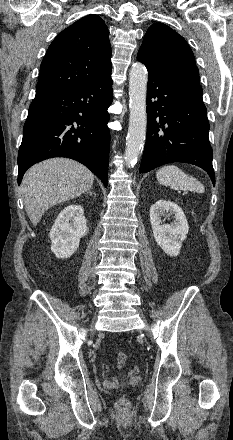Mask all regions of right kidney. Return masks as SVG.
Listing matches in <instances>:
<instances>
[{
  "instance_id": "1",
  "label": "right kidney",
  "mask_w": 233,
  "mask_h": 440,
  "mask_svg": "<svg viewBox=\"0 0 233 440\" xmlns=\"http://www.w3.org/2000/svg\"><path fill=\"white\" fill-rule=\"evenodd\" d=\"M87 233L84 210L80 205L65 207L50 231L51 250L57 258L72 256L79 247L80 238Z\"/></svg>"
}]
</instances>
